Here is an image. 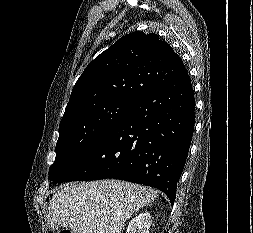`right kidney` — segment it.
Returning a JSON list of instances; mask_svg holds the SVG:
<instances>
[{
    "label": "right kidney",
    "instance_id": "right-kidney-1",
    "mask_svg": "<svg viewBox=\"0 0 253 233\" xmlns=\"http://www.w3.org/2000/svg\"><path fill=\"white\" fill-rule=\"evenodd\" d=\"M151 222V215L148 212H142L129 222L126 233H149Z\"/></svg>",
    "mask_w": 253,
    "mask_h": 233
}]
</instances>
